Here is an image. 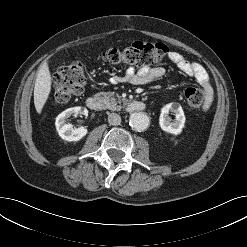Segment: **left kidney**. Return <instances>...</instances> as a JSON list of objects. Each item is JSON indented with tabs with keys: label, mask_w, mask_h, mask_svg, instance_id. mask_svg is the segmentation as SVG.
<instances>
[{
	"label": "left kidney",
	"mask_w": 247,
	"mask_h": 247,
	"mask_svg": "<svg viewBox=\"0 0 247 247\" xmlns=\"http://www.w3.org/2000/svg\"><path fill=\"white\" fill-rule=\"evenodd\" d=\"M169 112L175 114V120L168 116ZM185 115L184 111L180 104L178 103H169L162 107L161 114L159 117V124L163 131L173 135H178L182 132L185 124Z\"/></svg>",
	"instance_id": "obj_1"
}]
</instances>
